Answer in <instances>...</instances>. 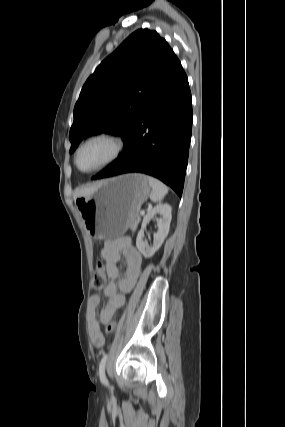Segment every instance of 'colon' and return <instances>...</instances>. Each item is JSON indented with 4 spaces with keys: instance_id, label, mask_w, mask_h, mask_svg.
<instances>
[{
    "instance_id": "obj_1",
    "label": "colon",
    "mask_w": 285,
    "mask_h": 427,
    "mask_svg": "<svg viewBox=\"0 0 285 427\" xmlns=\"http://www.w3.org/2000/svg\"><path fill=\"white\" fill-rule=\"evenodd\" d=\"M106 282L105 267L102 262H99L92 277L91 286L93 289H101ZM115 330V323L110 322L106 326V332L112 333Z\"/></svg>"
}]
</instances>
